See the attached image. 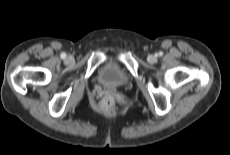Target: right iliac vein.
Instances as JSON below:
<instances>
[{"instance_id":"1","label":"right iliac vein","mask_w":230,"mask_h":155,"mask_svg":"<svg viewBox=\"0 0 230 155\" xmlns=\"http://www.w3.org/2000/svg\"><path fill=\"white\" fill-rule=\"evenodd\" d=\"M67 62H71L72 61V57L71 56H68L67 59H66Z\"/></svg>"}]
</instances>
